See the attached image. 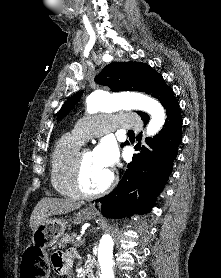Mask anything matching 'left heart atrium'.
Returning <instances> with one entry per match:
<instances>
[{"instance_id": "obj_1", "label": "left heart atrium", "mask_w": 221, "mask_h": 278, "mask_svg": "<svg viewBox=\"0 0 221 278\" xmlns=\"http://www.w3.org/2000/svg\"><path fill=\"white\" fill-rule=\"evenodd\" d=\"M94 157L106 168L111 169L117 158L116 147L112 142H102L93 152Z\"/></svg>"}]
</instances>
